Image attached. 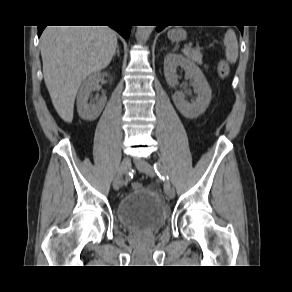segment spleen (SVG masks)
<instances>
[{
  "label": "spleen",
  "instance_id": "1",
  "mask_svg": "<svg viewBox=\"0 0 292 292\" xmlns=\"http://www.w3.org/2000/svg\"><path fill=\"white\" fill-rule=\"evenodd\" d=\"M225 56L227 61L235 63L238 58V42L233 30H228L224 37Z\"/></svg>",
  "mask_w": 292,
  "mask_h": 292
}]
</instances>
